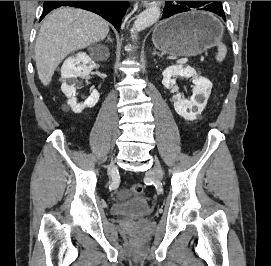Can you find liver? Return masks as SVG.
I'll list each match as a JSON object with an SVG mask.
<instances>
[{
    "label": "liver",
    "mask_w": 271,
    "mask_h": 266,
    "mask_svg": "<svg viewBox=\"0 0 271 266\" xmlns=\"http://www.w3.org/2000/svg\"><path fill=\"white\" fill-rule=\"evenodd\" d=\"M109 24L100 16L76 8H59L44 20L35 45L39 79L47 86L61 61L73 51L106 38Z\"/></svg>",
    "instance_id": "liver-1"
}]
</instances>
